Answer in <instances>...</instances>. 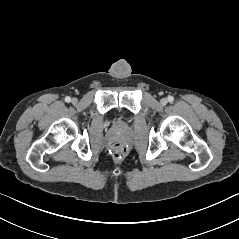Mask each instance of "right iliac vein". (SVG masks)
Segmentation results:
<instances>
[{
    "instance_id": "63e3f726",
    "label": "right iliac vein",
    "mask_w": 239,
    "mask_h": 239,
    "mask_svg": "<svg viewBox=\"0 0 239 239\" xmlns=\"http://www.w3.org/2000/svg\"><path fill=\"white\" fill-rule=\"evenodd\" d=\"M72 103H73V104H76V103H77V99H76V98H73V99H72Z\"/></svg>"
}]
</instances>
